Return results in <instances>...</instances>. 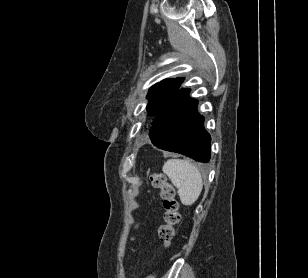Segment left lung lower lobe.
Here are the masks:
<instances>
[{
	"mask_svg": "<svg viewBox=\"0 0 308 278\" xmlns=\"http://www.w3.org/2000/svg\"><path fill=\"white\" fill-rule=\"evenodd\" d=\"M188 93L180 89L159 111L149 136L158 148L208 162L211 137L204 129V117L196 110L197 100L189 98Z\"/></svg>",
	"mask_w": 308,
	"mask_h": 278,
	"instance_id": "1",
	"label": "left lung lower lobe"
}]
</instances>
